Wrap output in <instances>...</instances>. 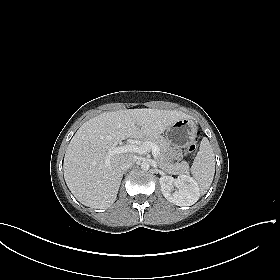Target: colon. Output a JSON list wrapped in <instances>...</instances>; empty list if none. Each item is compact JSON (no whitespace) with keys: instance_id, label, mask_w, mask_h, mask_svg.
Returning <instances> with one entry per match:
<instances>
[{"instance_id":"5ec220e1","label":"colon","mask_w":280,"mask_h":280,"mask_svg":"<svg viewBox=\"0 0 280 280\" xmlns=\"http://www.w3.org/2000/svg\"><path fill=\"white\" fill-rule=\"evenodd\" d=\"M194 150H195V146H194L193 144L190 145V146L187 148V152L190 153V154H192V153L194 152Z\"/></svg>"}]
</instances>
